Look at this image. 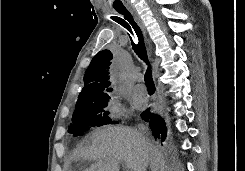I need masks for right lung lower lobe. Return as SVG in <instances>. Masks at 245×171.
<instances>
[{
	"label": "right lung lower lobe",
	"instance_id": "right-lung-lower-lobe-1",
	"mask_svg": "<svg viewBox=\"0 0 245 171\" xmlns=\"http://www.w3.org/2000/svg\"><path fill=\"white\" fill-rule=\"evenodd\" d=\"M141 118L147 122L152 130L153 136L160 142L167 141V127L161 115L154 114L150 109L141 113Z\"/></svg>",
	"mask_w": 245,
	"mask_h": 171
}]
</instances>
